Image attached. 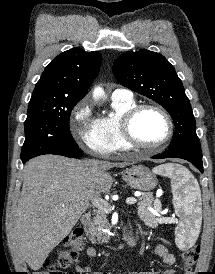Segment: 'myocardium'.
Listing matches in <instances>:
<instances>
[{"label":"myocardium","instance_id":"f54148a6","mask_svg":"<svg viewBox=\"0 0 215 274\" xmlns=\"http://www.w3.org/2000/svg\"><path fill=\"white\" fill-rule=\"evenodd\" d=\"M147 109L159 112L164 117L168 127L166 136L155 144H144L140 142L133 133V123L135 118L140 112ZM120 132L123 140L130 148L155 150L165 146L172 139L174 135V123L170 114L159 105L150 103L135 104L121 116Z\"/></svg>","mask_w":215,"mask_h":274}]
</instances>
